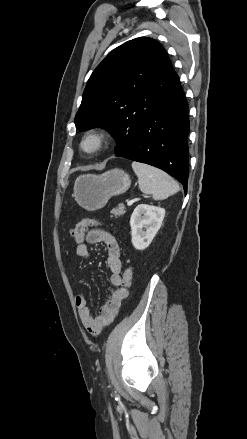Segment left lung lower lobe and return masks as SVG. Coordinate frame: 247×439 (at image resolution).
<instances>
[{
  "instance_id": "0a47b994",
  "label": "left lung lower lobe",
  "mask_w": 247,
  "mask_h": 439,
  "mask_svg": "<svg viewBox=\"0 0 247 439\" xmlns=\"http://www.w3.org/2000/svg\"><path fill=\"white\" fill-rule=\"evenodd\" d=\"M188 104L180 82L142 120L130 146L116 156L158 167L183 184L187 192Z\"/></svg>"
}]
</instances>
